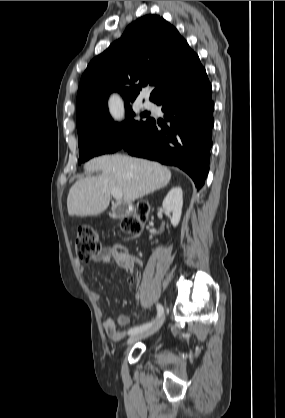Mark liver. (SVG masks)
I'll return each instance as SVG.
<instances>
[{
    "label": "liver",
    "mask_w": 285,
    "mask_h": 418,
    "mask_svg": "<svg viewBox=\"0 0 285 418\" xmlns=\"http://www.w3.org/2000/svg\"><path fill=\"white\" fill-rule=\"evenodd\" d=\"M86 171L98 176L76 181L67 197L70 216H95L105 211L113 190L122 191L127 204L166 186L171 171L156 162L122 154L103 155L88 161Z\"/></svg>",
    "instance_id": "6515ba94"
}]
</instances>
